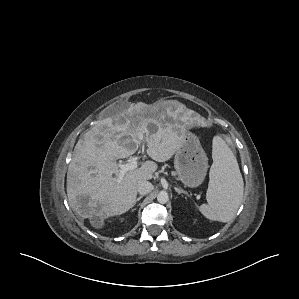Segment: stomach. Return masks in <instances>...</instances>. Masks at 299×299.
I'll list each match as a JSON object with an SVG mask.
<instances>
[{"label":"stomach","mask_w":299,"mask_h":299,"mask_svg":"<svg viewBox=\"0 0 299 299\" xmlns=\"http://www.w3.org/2000/svg\"><path fill=\"white\" fill-rule=\"evenodd\" d=\"M181 135L182 142L175 153L174 167L185 186L197 187L205 179L208 158L195 134L186 131Z\"/></svg>","instance_id":"0dacf381"}]
</instances>
